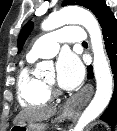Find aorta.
I'll list each match as a JSON object with an SVG mask.
<instances>
[{"mask_svg":"<svg viewBox=\"0 0 117 131\" xmlns=\"http://www.w3.org/2000/svg\"><path fill=\"white\" fill-rule=\"evenodd\" d=\"M68 23L82 25L88 31L94 54L93 69L97 90L94 98L79 118L74 130L82 131L83 128L98 117L109 104L113 93V78L104 50L101 28L91 12L80 7H66L51 14L42 22L41 28L44 31H49ZM49 67V63L39 62L36 70L40 73Z\"/></svg>","mask_w":117,"mask_h":131,"instance_id":"1","label":"aorta"}]
</instances>
